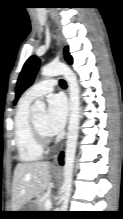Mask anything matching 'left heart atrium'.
<instances>
[{"label":"left heart atrium","instance_id":"1","mask_svg":"<svg viewBox=\"0 0 123 219\" xmlns=\"http://www.w3.org/2000/svg\"><path fill=\"white\" fill-rule=\"evenodd\" d=\"M67 111V103L62 95L54 94L48 98L46 127L50 134H57L63 129Z\"/></svg>","mask_w":123,"mask_h":219}]
</instances>
